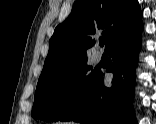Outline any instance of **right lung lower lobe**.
Segmentation results:
<instances>
[{
  "instance_id": "right-lung-lower-lobe-1",
  "label": "right lung lower lobe",
  "mask_w": 156,
  "mask_h": 124,
  "mask_svg": "<svg viewBox=\"0 0 156 124\" xmlns=\"http://www.w3.org/2000/svg\"><path fill=\"white\" fill-rule=\"evenodd\" d=\"M143 26L126 32L107 49L113 62L107 71L113 73L112 86H104L99 72L82 99L60 121L86 124H137L131 106L134 97L135 69Z\"/></svg>"
}]
</instances>
